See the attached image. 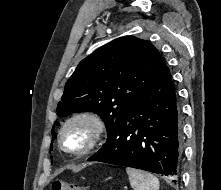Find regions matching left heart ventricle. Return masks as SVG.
Here are the masks:
<instances>
[{
	"instance_id": "b2bd125f",
	"label": "left heart ventricle",
	"mask_w": 221,
	"mask_h": 190,
	"mask_svg": "<svg viewBox=\"0 0 221 190\" xmlns=\"http://www.w3.org/2000/svg\"><path fill=\"white\" fill-rule=\"evenodd\" d=\"M91 135V128L84 121H77L69 125L64 134L66 146L73 149L85 147Z\"/></svg>"
}]
</instances>
